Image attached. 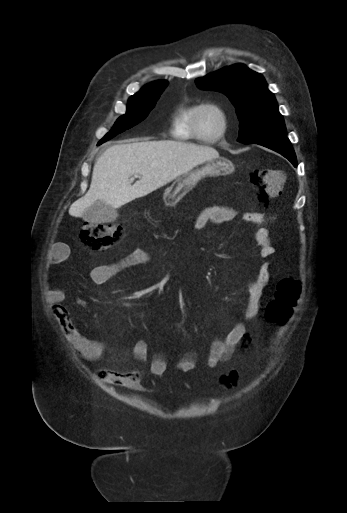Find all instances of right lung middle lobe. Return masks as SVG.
I'll return each instance as SVG.
<instances>
[{
  "label": "right lung middle lobe",
  "instance_id": "right-lung-middle-lobe-1",
  "mask_svg": "<svg viewBox=\"0 0 347 513\" xmlns=\"http://www.w3.org/2000/svg\"><path fill=\"white\" fill-rule=\"evenodd\" d=\"M167 84V81H156L146 85L138 93L131 96L128 100L126 114L116 121L113 128L101 140V143L113 138L117 134L135 126L145 119L151 109L155 106Z\"/></svg>",
  "mask_w": 347,
  "mask_h": 513
}]
</instances>
